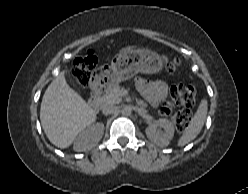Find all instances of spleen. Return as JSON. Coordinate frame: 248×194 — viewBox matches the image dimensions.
Listing matches in <instances>:
<instances>
[{
    "mask_svg": "<svg viewBox=\"0 0 248 194\" xmlns=\"http://www.w3.org/2000/svg\"><path fill=\"white\" fill-rule=\"evenodd\" d=\"M207 111V100L204 98L201 100L198 109L194 117L191 119L188 127L185 129L182 136L180 137L178 141V146L182 147L194 140L198 136L206 120Z\"/></svg>",
    "mask_w": 248,
    "mask_h": 194,
    "instance_id": "obj_1",
    "label": "spleen"
}]
</instances>
